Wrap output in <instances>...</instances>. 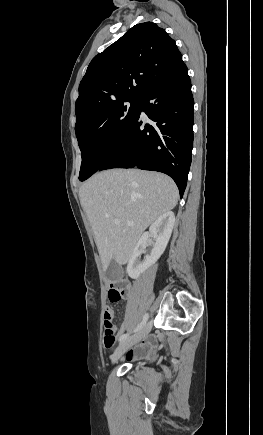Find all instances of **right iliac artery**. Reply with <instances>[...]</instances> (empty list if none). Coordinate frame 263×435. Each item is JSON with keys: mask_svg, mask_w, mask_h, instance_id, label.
<instances>
[{"mask_svg": "<svg viewBox=\"0 0 263 435\" xmlns=\"http://www.w3.org/2000/svg\"><path fill=\"white\" fill-rule=\"evenodd\" d=\"M147 320H148V314L146 313V314L144 315L143 320L141 321V323H140V324H139V325L134 329L133 333H136V332H138L139 330H141V329L145 326ZM129 335H130L129 333H127V334H123V335L119 338V341H120V342L124 341L126 338L129 337Z\"/></svg>", "mask_w": 263, "mask_h": 435, "instance_id": "82829eb1", "label": "right iliac artery"}]
</instances>
